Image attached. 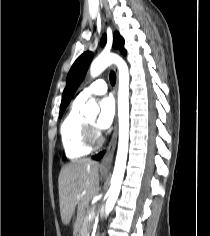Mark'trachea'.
<instances>
[{
  "instance_id": "obj_1",
  "label": "trachea",
  "mask_w": 210,
  "mask_h": 236,
  "mask_svg": "<svg viewBox=\"0 0 210 236\" xmlns=\"http://www.w3.org/2000/svg\"><path fill=\"white\" fill-rule=\"evenodd\" d=\"M109 78H110V83L114 86L116 83V74L114 71L110 72Z\"/></svg>"
}]
</instances>
